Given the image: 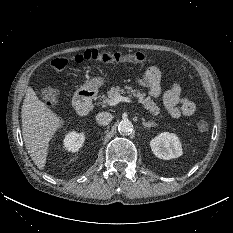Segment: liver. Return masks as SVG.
<instances>
[{
  "instance_id": "1",
  "label": "liver",
  "mask_w": 233,
  "mask_h": 233,
  "mask_svg": "<svg viewBox=\"0 0 233 233\" xmlns=\"http://www.w3.org/2000/svg\"><path fill=\"white\" fill-rule=\"evenodd\" d=\"M22 135L26 149L39 169H44L49 141L64 121L42 102L32 87L26 90L21 109Z\"/></svg>"
}]
</instances>
